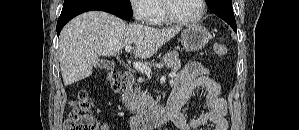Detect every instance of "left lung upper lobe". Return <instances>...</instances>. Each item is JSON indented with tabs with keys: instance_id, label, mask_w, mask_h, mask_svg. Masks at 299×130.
<instances>
[{
	"instance_id": "1",
	"label": "left lung upper lobe",
	"mask_w": 299,
	"mask_h": 130,
	"mask_svg": "<svg viewBox=\"0 0 299 130\" xmlns=\"http://www.w3.org/2000/svg\"><path fill=\"white\" fill-rule=\"evenodd\" d=\"M213 0H206L207 4H210ZM232 2V0H231Z\"/></svg>"
}]
</instances>
